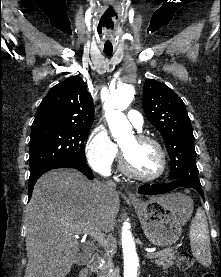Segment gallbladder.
I'll return each mask as SVG.
<instances>
[{"label": "gallbladder", "mask_w": 221, "mask_h": 277, "mask_svg": "<svg viewBox=\"0 0 221 277\" xmlns=\"http://www.w3.org/2000/svg\"><path fill=\"white\" fill-rule=\"evenodd\" d=\"M90 256L84 252L80 253L77 261H76V264L81 266V265H84L88 262Z\"/></svg>", "instance_id": "bac80fb5"}]
</instances>
